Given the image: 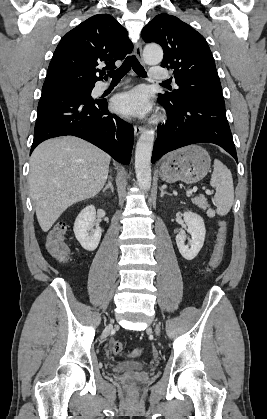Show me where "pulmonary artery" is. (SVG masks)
<instances>
[{
    "label": "pulmonary artery",
    "mask_w": 267,
    "mask_h": 419,
    "mask_svg": "<svg viewBox=\"0 0 267 419\" xmlns=\"http://www.w3.org/2000/svg\"><path fill=\"white\" fill-rule=\"evenodd\" d=\"M150 77L154 80H164V79H167L169 75L164 69L153 67L151 68V71H150ZM108 87L109 85L104 83L100 86L99 90L105 91L106 89H108Z\"/></svg>",
    "instance_id": "obj_1"
}]
</instances>
